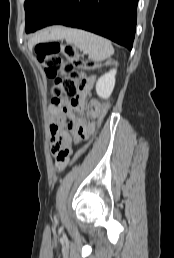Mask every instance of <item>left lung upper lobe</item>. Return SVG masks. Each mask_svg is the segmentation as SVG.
<instances>
[{"label":"left lung upper lobe","mask_w":174,"mask_h":258,"mask_svg":"<svg viewBox=\"0 0 174 258\" xmlns=\"http://www.w3.org/2000/svg\"><path fill=\"white\" fill-rule=\"evenodd\" d=\"M59 2L60 0H26L24 3L26 33L36 31Z\"/></svg>","instance_id":"1"}]
</instances>
